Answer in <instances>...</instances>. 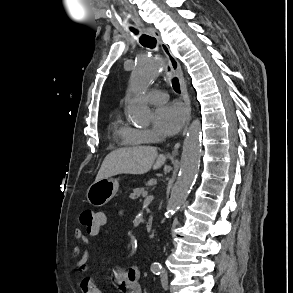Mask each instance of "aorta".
<instances>
[{"label":"aorta","instance_id":"762f6f07","mask_svg":"<svg viewBox=\"0 0 293 293\" xmlns=\"http://www.w3.org/2000/svg\"><path fill=\"white\" fill-rule=\"evenodd\" d=\"M163 68L161 59L155 54L140 56L136 61L130 77V93L126 108L129 117L138 125H149L152 120L151 110L143 101L142 94L162 74ZM201 151V124L196 119L191 123L184 139L180 171L166 207L168 217L172 216L187 199L199 172ZM154 267L159 268V264L155 263Z\"/></svg>","mask_w":293,"mask_h":293}]
</instances>
